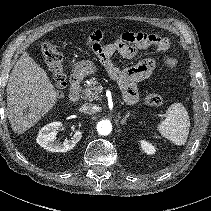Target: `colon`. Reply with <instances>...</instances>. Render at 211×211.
Wrapping results in <instances>:
<instances>
[{
	"label": "colon",
	"mask_w": 211,
	"mask_h": 211,
	"mask_svg": "<svg viewBox=\"0 0 211 211\" xmlns=\"http://www.w3.org/2000/svg\"><path fill=\"white\" fill-rule=\"evenodd\" d=\"M101 40L102 35L100 34L91 36L88 39V45L96 58L106 66V68H111L114 65L112 56L115 51H119L124 56H133L141 46L153 45L158 51H166L170 46V41L166 37L154 34H143L140 32H134V34L127 39L122 36V42L116 45H102ZM41 52L46 65L52 72L56 87L62 90L66 86V81L62 68L63 55L59 47L52 42L45 41L41 44ZM165 63L170 69H175L176 67V60L174 58H166ZM145 102L150 106L158 107L162 105L163 100L160 95L151 93L146 95Z\"/></svg>",
	"instance_id": "1"
}]
</instances>
